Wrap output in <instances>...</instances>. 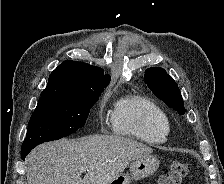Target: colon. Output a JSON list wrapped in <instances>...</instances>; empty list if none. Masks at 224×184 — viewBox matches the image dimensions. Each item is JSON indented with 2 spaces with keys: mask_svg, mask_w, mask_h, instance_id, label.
<instances>
[{
  "mask_svg": "<svg viewBox=\"0 0 224 184\" xmlns=\"http://www.w3.org/2000/svg\"><path fill=\"white\" fill-rule=\"evenodd\" d=\"M190 173V165L181 161H174L169 169L159 178L158 184H182Z\"/></svg>",
  "mask_w": 224,
  "mask_h": 184,
  "instance_id": "colon-1",
  "label": "colon"
}]
</instances>
